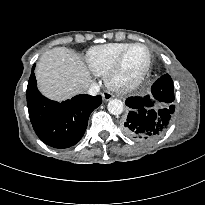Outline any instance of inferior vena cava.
Returning <instances> with one entry per match:
<instances>
[{"instance_id": "inferior-vena-cava-1", "label": "inferior vena cava", "mask_w": 205, "mask_h": 205, "mask_svg": "<svg viewBox=\"0 0 205 205\" xmlns=\"http://www.w3.org/2000/svg\"><path fill=\"white\" fill-rule=\"evenodd\" d=\"M99 90H100V87L96 83H91L87 90V94L91 96H95L98 94Z\"/></svg>"}]
</instances>
